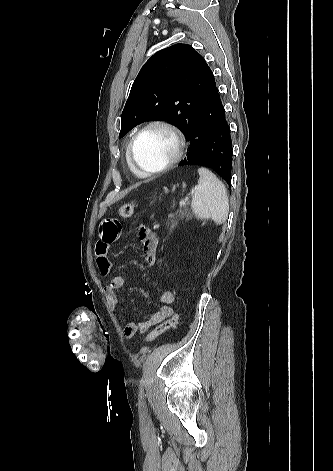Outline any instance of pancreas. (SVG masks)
<instances>
[{"instance_id": "pancreas-1", "label": "pancreas", "mask_w": 333, "mask_h": 471, "mask_svg": "<svg viewBox=\"0 0 333 471\" xmlns=\"http://www.w3.org/2000/svg\"><path fill=\"white\" fill-rule=\"evenodd\" d=\"M192 217V212L188 208H183L180 209L175 215L170 216L166 224L169 226L170 230H172L179 220L189 221L192 219Z\"/></svg>"}]
</instances>
